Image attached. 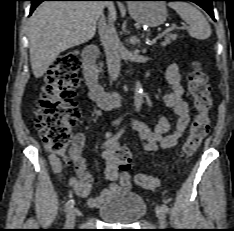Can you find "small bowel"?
Wrapping results in <instances>:
<instances>
[{"label": "small bowel", "mask_w": 234, "mask_h": 231, "mask_svg": "<svg viewBox=\"0 0 234 231\" xmlns=\"http://www.w3.org/2000/svg\"><path fill=\"white\" fill-rule=\"evenodd\" d=\"M166 78L170 84L171 91L164 96L163 100L165 105L177 115L175 131L171 134H166L172 127L168 117H162L153 128L138 120L131 121L132 128L139 134L142 148L148 152H156L159 149L176 146L190 122L189 106L183 97L182 76L176 64L168 67ZM115 136L111 132H107L101 146V156L105 161L104 174L109 184L96 196H91L94 186V175L87 169L85 159L82 156L85 137L82 134H77L70 148L69 161L74 163L77 176L69 179V185L76 195L87 199L90 207L97 208L105 204L114 195L129 186L128 174L120 173L118 170L117 151L119 150V142ZM49 161L54 172H61L62 163L56 155L50 154Z\"/></svg>", "instance_id": "obj_1"}]
</instances>
